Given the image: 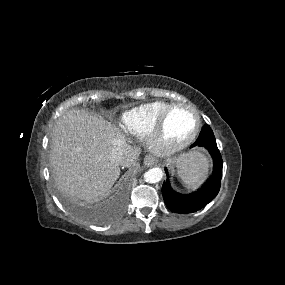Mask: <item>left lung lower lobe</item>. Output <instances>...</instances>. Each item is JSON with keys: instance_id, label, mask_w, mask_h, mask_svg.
Masks as SVG:
<instances>
[{"instance_id": "0a47b994", "label": "left lung lower lobe", "mask_w": 285, "mask_h": 285, "mask_svg": "<svg viewBox=\"0 0 285 285\" xmlns=\"http://www.w3.org/2000/svg\"><path fill=\"white\" fill-rule=\"evenodd\" d=\"M205 147L213 158V174L206 185L199 191L189 195H179L170 186L169 179L164 181L162 194L167 207L177 213H192L207 205L219 192L222 177V157L218 150L214 134L208 125H205L198 139L191 147ZM168 174L167 169L165 168Z\"/></svg>"}]
</instances>
